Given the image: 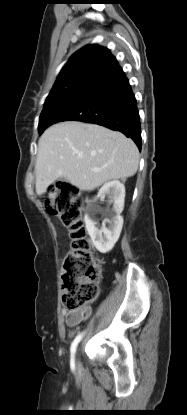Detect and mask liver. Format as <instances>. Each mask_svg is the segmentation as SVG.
<instances>
[{"label":"liver","mask_w":187,"mask_h":415,"mask_svg":"<svg viewBox=\"0 0 187 415\" xmlns=\"http://www.w3.org/2000/svg\"><path fill=\"white\" fill-rule=\"evenodd\" d=\"M138 164L137 146L122 133L77 121L57 123L38 141L36 193L44 194L58 178L92 191L109 180L133 176Z\"/></svg>","instance_id":"1"}]
</instances>
